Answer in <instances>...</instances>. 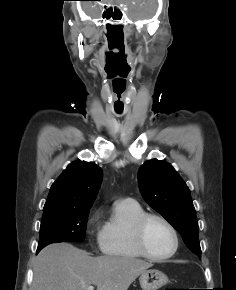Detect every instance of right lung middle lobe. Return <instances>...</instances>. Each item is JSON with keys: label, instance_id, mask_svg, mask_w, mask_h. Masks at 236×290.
Returning <instances> with one entry per match:
<instances>
[{"label": "right lung middle lobe", "instance_id": "obj_1", "mask_svg": "<svg viewBox=\"0 0 236 290\" xmlns=\"http://www.w3.org/2000/svg\"><path fill=\"white\" fill-rule=\"evenodd\" d=\"M89 210L43 212L37 252L54 242H79L85 239Z\"/></svg>", "mask_w": 236, "mask_h": 290}]
</instances>
